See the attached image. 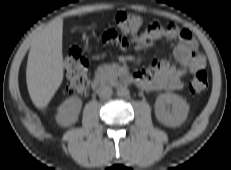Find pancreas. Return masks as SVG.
<instances>
[{"label":"pancreas","instance_id":"cf45deb5","mask_svg":"<svg viewBox=\"0 0 231 170\" xmlns=\"http://www.w3.org/2000/svg\"><path fill=\"white\" fill-rule=\"evenodd\" d=\"M116 65L104 64L98 67L96 76L107 78L111 76L115 71Z\"/></svg>","mask_w":231,"mask_h":170}]
</instances>
